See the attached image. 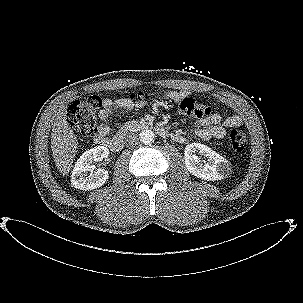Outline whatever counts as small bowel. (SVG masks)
Returning a JSON list of instances; mask_svg holds the SVG:
<instances>
[{
  "mask_svg": "<svg viewBox=\"0 0 303 303\" xmlns=\"http://www.w3.org/2000/svg\"><path fill=\"white\" fill-rule=\"evenodd\" d=\"M165 95L170 97L175 102H181L184 98H188L189 94L186 91H169L166 92ZM146 107V103L143 100H139L136 102H131L125 99H116V100H106L102 109L99 111L98 118L100 121V125L98 128V133L96 136V140L104 144V141L108 139V136L111 132V127L108 125L107 121L109 117L112 115L114 110L117 109H138L144 110ZM205 114L203 117L199 118L198 124L200 128L196 130V135L202 140H210V139H223L226 134V128L238 127L241 125L242 120L237 115L229 116L224 123L222 124L221 116L217 113H212L209 109L203 108ZM172 139L178 143L184 142V137L180 134L173 133Z\"/></svg>",
  "mask_w": 303,
  "mask_h": 303,
  "instance_id": "obj_1",
  "label": "small bowel"
}]
</instances>
